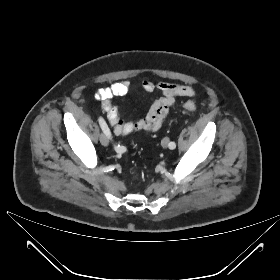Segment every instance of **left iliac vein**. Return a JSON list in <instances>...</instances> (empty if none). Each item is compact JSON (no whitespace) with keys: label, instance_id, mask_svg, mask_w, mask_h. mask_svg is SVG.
Here are the masks:
<instances>
[{"label":"left iliac vein","instance_id":"left-iliac-vein-1","mask_svg":"<svg viewBox=\"0 0 280 280\" xmlns=\"http://www.w3.org/2000/svg\"><path fill=\"white\" fill-rule=\"evenodd\" d=\"M161 145L164 148L168 147V145H169V138L168 137L163 138V140L161 141Z\"/></svg>","mask_w":280,"mask_h":280}]
</instances>
